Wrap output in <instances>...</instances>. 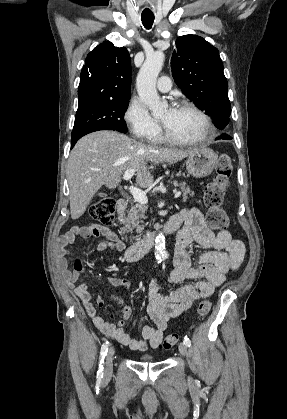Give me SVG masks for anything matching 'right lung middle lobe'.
Listing matches in <instances>:
<instances>
[{"instance_id":"right-lung-middle-lobe-1","label":"right lung middle lobe","mask_w":287,"mask_h":419,"mask_svg":"<svg viewBox=\"0 0 287 419\" xmlns=\"http://www.w3.org/2000/svg\"><path fill=\"white\" fill-rule=\"evenodd\" d=\"M129 99L108 101L78 109L71 134V145H75L82 136L98 130H115L127 132L124 114Z\"/></svg>"}]
</instances>
